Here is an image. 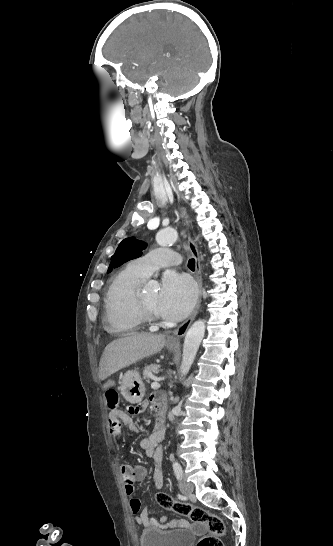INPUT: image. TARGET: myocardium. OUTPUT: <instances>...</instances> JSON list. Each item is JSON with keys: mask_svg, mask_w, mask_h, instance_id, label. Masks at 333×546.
I'll list each match as a JSON object with an SVG mask.
<instances>
[{"mask_svg": "<svg viewBox=\"0 0 333 546\" xmlns=\"http://www.w3.org/2000/svg\"><path fill=\"white\" fill-rule=\"evenodd\" d=\"M135 307L143 321L156 323L159 321L157 313L149 309L143 302L141 294L137 293L135 296Z\"/></svg>", "mask_w": 333, "mask_h": 546, "instance_id": "f54148a6", "label": "myocardium"}]
</instances>
